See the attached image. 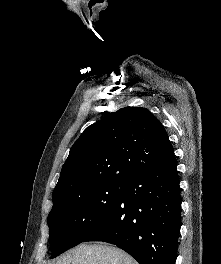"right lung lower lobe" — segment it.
Listing matches in <instances>:
<instances>
[{
  "mask_svg": "<svg viewBox=\"0 0 221 264\" xmlns=\"http://www.w3.org/2000/svg\"><path fill=\"white\" fill-rule=\"evenodd\" d=\"M180 211L174 157L127 179L114 208L82 242L117 245L139 264H175Z\"/></svg>",
  "mask_w": 221,
  "mask_h": 264,
  "instance_id": "1",
  "label": "right lung lower lobe"
}]
</instances>
